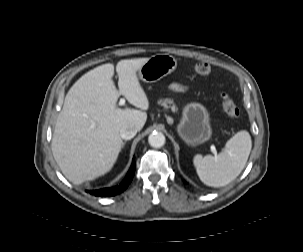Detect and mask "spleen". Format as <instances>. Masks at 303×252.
<instances>
[{
  "label": "spleen",
  "mask_w": 303,
  "mask_h": 252,
  "mask_svg": "<svg viewBox=\"0 0 303 252\" xmlns=\"http://www.w3.org/2000/svg\"><path fill=\"white\" fill-rule=\"evenodd\" d=\"M252 148L250 134L237 132L217 156L197 154L193 164L200 180L211 187H221L232 182L244 169Z\"/></svg>",
  "instance_id": "3e777b00"
}]
</instances>
